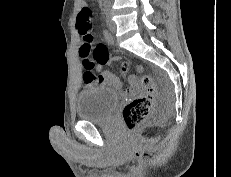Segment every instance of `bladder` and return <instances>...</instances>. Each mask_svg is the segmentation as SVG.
Returning a JSON list of instances; mask_svg holds the SVG:
<instances>
[{
    "label": "bladder",
    "mask_w": 231,
    "mask_h": 177,
    "mask_svg": "<svg viewBox=\"0 0 231 177\" xmlns=\"http://www.w3.org/2000/svg\"><path fill=\"white\" fill-rule=\"evenodd\" d=\"M118 100L117 93L106 87L84 90L77 97V116L84 121H104L112 114Z\"/></svg>",
    "instance_id": "obj_1"
}]
</instances>
